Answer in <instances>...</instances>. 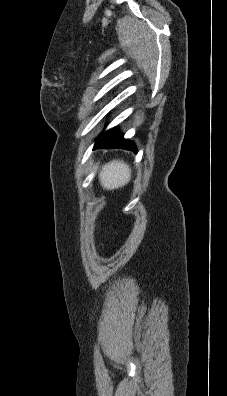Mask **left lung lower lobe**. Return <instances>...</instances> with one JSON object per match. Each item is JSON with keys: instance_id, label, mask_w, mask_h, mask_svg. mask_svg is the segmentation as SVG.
<instances>
[{"instance_id": "1", "label": "left lung lower lobe", "mask_w": 227, "mask_h": 396, "mask_svg": "<svg viewBox=\"0 0 227 396\" xmlns=\"http://www.w3.org/2000/svg\"><path fill=\"white\" fill-rule=\"evenodd\" d=\"M97 148H122L136 152V146L133 142L124 139L116 128L102 133L95 142L94 149Z\"/></svg>"}]
</instances>
